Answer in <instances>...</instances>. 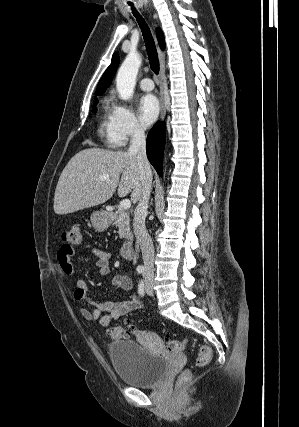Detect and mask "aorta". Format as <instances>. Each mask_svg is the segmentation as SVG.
I'll return each instance as SVG.
<instances>
[{
	"instance_id": "1",
	"label": "aorta",
	"mask_w": 299,
	"mask_h": 427,
	"mask_svg": "<svg viewBox=\"0 0 299 427\" xmlns=\"http://www.w3.org/2000/svg\"><path fill=\"white\" fill-rule=\"evenodd\" d=\"M141 62V56L137 52H130L119 68L116 77V88L122 100H129L133 96Z\"/></svg>"
}]
</instances>
